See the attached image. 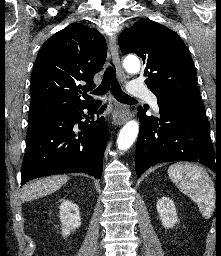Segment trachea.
<instances>
[{
    "label": "trachea",
    "instance_id": "1",
    "mask_svg": "<svg viewBox=\"0 0 221 256\" xmlns=\"http://www.w3.org/2000/svg\"><path fill=\"white\" fill-rule=\"evenodd\" d=\"M109 90L119 102L129 103L136 101L134 98L122 91L121 86L116 78V72L111 66L106 69L100 86L93 91V94L102 96L106 94Z\"/></svg>",
    "mask_w": 221,
    "mask_h": 256
}]
</instances>
